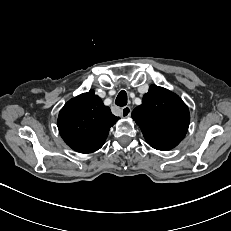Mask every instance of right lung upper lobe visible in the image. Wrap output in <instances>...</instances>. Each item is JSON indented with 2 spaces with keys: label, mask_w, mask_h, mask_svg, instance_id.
<instances>
[{
  "label": "right lung upper lobe",
  "mask_w": 231,
  "mask_h": 231,
  "mask_svg": "<svg viewBox=\"0 0 231 231\" xmlns=\"http://www.w3.org/2000/svg\"><path fill=\"white\" fill-rule=\"evenodd\" d=\"M119 117L93 90L69 100L61 109L57 126L61 137L73 150L92 153L100 149Z\"/></svg>",
  "instance_id": "obj_1"
}]
</instances>
